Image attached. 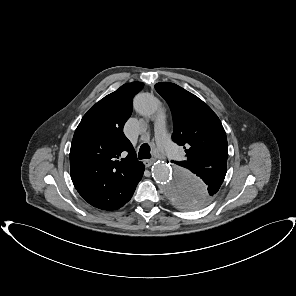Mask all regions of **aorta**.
Segmentation results:
<instances>
[{"instance_id": "aorta-1", "label": "aorta", "mask_w": 296, "mask_h": 296, "mask_svg": "<svg viewBox=\"0 0 296 296\" xmlns=\"http://www.w3.org/2000/svg\"><path fill=\"white\" fill-rule=\"evenodd\" d=\"M160 106L150 93H140L134 99L135 110L143 116H153ZM154 179L161 184L167 199L183 211L198 209L205 200V184L180 165L156 162L152 167Z\"/></svg>"}]
</instances>
